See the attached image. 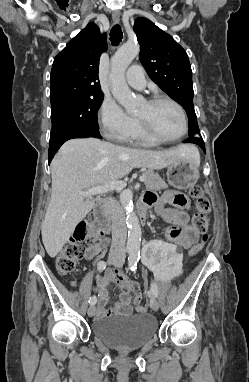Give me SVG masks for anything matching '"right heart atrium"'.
<instances>
[{
	"label": "right heart atrium",
	"mask_w": 249,
	"mask_h": 382,
	"mask_svg": "<svg viewBox=\"0 0 249 382\" xmlns=\"http://www.w3.org/2000/svg\"><path fill=\"white\" fill-rule=\"evenodd\" d=\"M100 129L108 139L124 142L136 131L138 121L111 98H105L99 110Z\"/></svg>",
	"instance_id": "obj_1"
}]
</instances>
